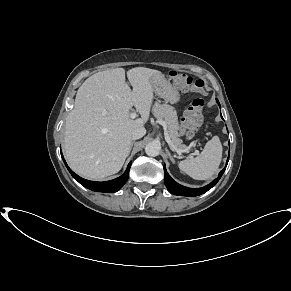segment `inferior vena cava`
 <instances>
[{
	"mask_svg": "<svg viewBox=\"0 0 291 291\" xmlns=\"http://www.w3.org/2000/svg\"><path fill=\"white\" fill-rule=\"evenodd\" d=\"M146 133L145 128L141 127V128H136L132 134H131V139L132 140H137L142 138Z\"/></svg>",
	"mask_w": 291,
	"mask_h": 291,
	"instance_id": "602c4592",
	"label": "inferior vena cava"
}]
</instances>
